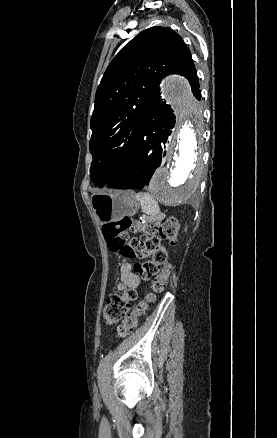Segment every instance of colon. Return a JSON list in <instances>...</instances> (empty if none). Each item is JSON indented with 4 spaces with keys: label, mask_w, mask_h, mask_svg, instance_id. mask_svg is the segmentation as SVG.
Listing matches in <instances>:
<instances>
[{
    "label": "colon",
    "mask_w": 277,
    "mask_h": 438,
    "mask_svg": "<svg viewBox=\"0 0 277 438\" xmlns=\"http://www.w3.org/2000/svg\"><path fill=\"white\" fill-rule=\"evenodd\" d=\"M129 232L142 234L128 239ZM103 234L108 240L111 251L120 253L124 257L151 258L136 264L135 273L142 280L154 277L152 292L135 305L131 313H129L130 304L136 298L134 288H126L112 294L104 307L105 323L115 324L123 320L118 328V336L127 337L136 328L139 318L147 310L148 303L153 301L155 294L162 292L168 283L171 264L168 262L167 249L161 245L160 239L173 244L178 236V222L174 218L161 221L152 219L136 221L126 215L119 221L105 224Z\"/></svg>",
    "instance_id": "colon-1"
}]
</instances>
